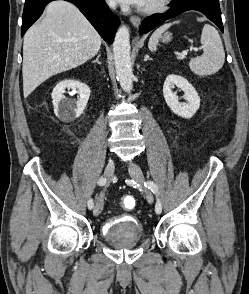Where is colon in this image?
<instances>
[{
  "mask_svg": "<svg viewBox=\"0 0 249 294\" xmlns=\"http://www.w3.org/2000/svg\"><path fill=\"white\" fill-rule=\"evenodd\" d=\"M121 202H122L123 208L127 210L133 209L136 205L135 199L130 196L123 197Z\"/></svg>",
  "mask_w": 249,
  "mask_h": 294,
  "instance_id": "5ec220e1",
  "label": "colon"
}]
</instances>
